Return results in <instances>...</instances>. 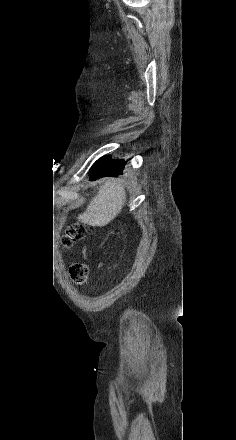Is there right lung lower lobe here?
Here are the masks:
<instances>
[{"label": "right lung lower lobe", "mask_w": 236, "mask_h": 440, "mask_svg": "<svg viewBox=\"0 0 236 440\" xmlns=\"http://www.w3.org/2000/svg\"><path fill=\"white\" fill-rule=\"evenodd\" d=\"M126 162L124 160H111L110 158H101L96 162V166L91 171L92 180L104 176H117L123 173Z\"/></svg>", "instance_id": "obj_1"}]
</instances>
